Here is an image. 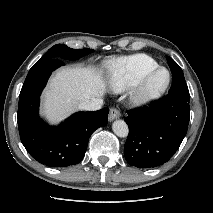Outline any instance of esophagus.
I'll return each mask as SVG.
<instances>
[{
	"label": "esophagus",
	"mask_w": 213,
	"mask_h": 213,
	"mask_svg": "<svg viewBox=\"0 0 213 213\" xmlns=\"http://www.w3.org/2000/svg\"><path fill=\"white\" fill-rule=\"evenodd\" d=\"M121 116L120 112L118 109L116 108H112L110 109V112H109V120L112 121L114 119H117Z\"/></svg>",
	"instance_id": "34e87169"
}]
</instances>
